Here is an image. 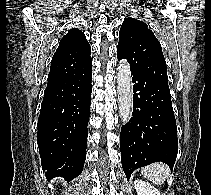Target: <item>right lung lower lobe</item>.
<instances>
[{"mask_svg": "<svg viewBox=\"0 0 211 195\" xmlns=\"http://www.w3.org/2000/svg\"><path fill=\"white\" fill-rule=\"evenodd\" d=\"M92 63L76 73L48 80L38 119L37 141L48 180H72L86 158Z\"/></svg>", "mask_w": 211, "mask_h": 195, "instance_id": "1", "label": "right lung lower lobe"}]
</instances>
